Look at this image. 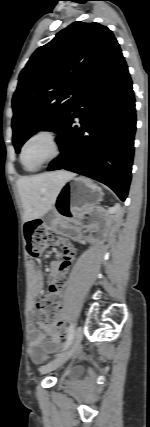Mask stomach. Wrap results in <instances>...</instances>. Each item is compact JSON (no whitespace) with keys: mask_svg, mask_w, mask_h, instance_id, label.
Segmentation results:
<instances>
[{"mask_svg":"<svg viewBox=\"0 0 150 427\" xmlns=\"http://www.w3.org/2000/svg\"><path fill=\"white\" fill-rule=\"evenodd\" d=\"M101 191L83 178L66 182L60 189L53 212L61 219L75 222L85 210L100 201Z\"/></svg>","mask_w":150,"mask_h":427,"instance_id":"1","label":"stomach"}]
</instances>
